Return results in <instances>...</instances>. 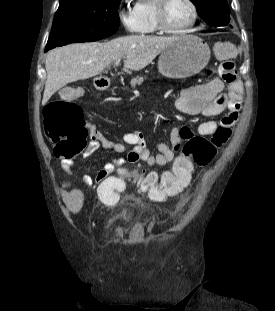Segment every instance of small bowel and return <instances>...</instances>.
<instances>
[{
	"instance_id": "1",
	"label": "small bowel",
	"mask_w": 275,
	"mask_h": 311,
	"mask_svg": "<svg viewBox=\"0 0 275 311\" xmlns=\"http://www.w3.org/2000/svg\"><path fill=\"white\" fill-rule=\"evenodd\" d=\"M223 51L226 52L229 58H235L238 55L237 49L230 43L225 44ZM224 87L222 80L213 78L204 84L186 89L176 103V108L185 114L202 115L206 117L223 114L220 123L203 121L195 130H192L188 126L174 127L170 133L171 146L166 143H159L156 146L157 151L155 153H151L140 131L127 132L123 135V142H117L106 138L99 131L92 128L91 139L87 149L83 152V156H90L99 148L121 154L126 151L125 144H129L133 146V149L127 150L129 160H140L150 166L167 165L174 159L183 142L193 135L194 132L201 135H208L212 133L218 125L223 123L225 119H232L231 124H234L241 106L242 84L240 80L235 78L232 82L227 83L225 93L222 92ZM125 162L123 158H114L105 163L98 171L95 181L88 175L82 176L80 180L87 186H92L93 183H102L103 178H106L107 175H112V173L122 167ZM72 165L73 162L71 160L62 161V167L71 176ZM61 189L70 190L68 194L62 195L67 213H72L73 215L84 213L85 208L82 204L83 193L81 188L72 187L71 183H62Z\"/></svg>"
}]
</instances>
